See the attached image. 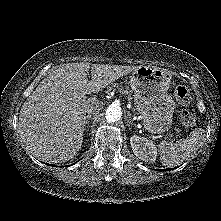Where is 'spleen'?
<instances>
[{
	"label": "spleen",
	"instance_id": "3e777b00",
	"mask_svg": "<svg viewBox=\"0 0 221 221\" xmlns=\"http://www.w3.org/2000/svg\"><path fill=\"white\" fill-rule=\"evenodd\" d=\"M204 140V130L195 129L186 139L173 142L162 141L159 145L160 161L164 166L182 164L194 156Z\"/></svg>",
	"mask_w": 221,
	"mask_h": 221
}]
</instances>
